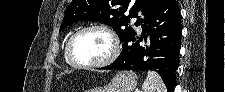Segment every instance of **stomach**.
Masks as SVG:
<instances>
[{"instance_id": "stomach-1", "label": "stomach", "mask_w": 225, "mask_h": 92, "mask_svg": "<svg viewBox=\"0 0 225 92\" xmlns=\"http://www.w3.org/2000/svg\"><path fill=\"white\" fill-rule=\"evenodd\" d=\"M137 86V75L133 71H121L106 86L90 92H133Z\"/></svg>"}]
</instances>
